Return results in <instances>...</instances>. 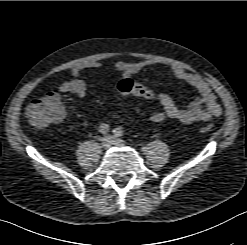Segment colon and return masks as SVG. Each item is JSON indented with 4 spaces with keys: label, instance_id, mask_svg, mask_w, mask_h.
<instances>
[{
    "label": "colon",
    "instance_id": "1",
    "mask_svg": "<svg viewBox=\"0 0 247 245\" xmlns=\"http://www.w3.org/2000/svg\"><path fill=\"white\" fill-rule=\"evenodd\" d=\"M119 97L135 95L146 99H152L154 91L131 78L122 79L117 85ZM26 114L31 126L35 129H45L52 124L59 123L64 118L62 105L54 100H46L45 97L32 100L26 109ZM213 124H204L201 132H210Z\"/></svg>",
    "mask_w": 247,
    "mask_h": 245
}]
</instances>
